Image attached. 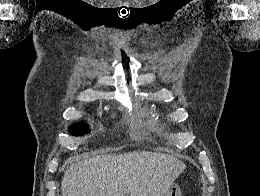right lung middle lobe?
<instances>
[{
    "label": "right lung middle lobe",
    "mask_w": 260,
    "mask_h": 196,
    "mask_svg": "<svg viewBox=\"0 0 260 196\" xmlns=\"http://www.w3.org/2000/svg\"><path fill=\"white\" fill-rule=\"evenodd\" d=\"M70 133L73 134V135H83L85 133H87V128L83 125H75V126H72L70 129H69Z\"/></svg>",
    "instance_id": "dd1d6c3e"
}]
</instances>
